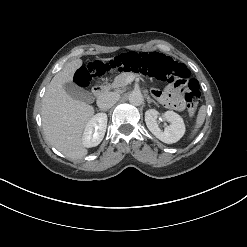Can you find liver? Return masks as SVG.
Returning a JSON list of instances; mask_svg holds the SVG:
<instances>
[{"instance_id": "1", "label": "liver", "mask_w": 247, "mask_h": 247, "mask_svg": "<svg viewBox=\"0 0 247 247\" xmlns=\"http://www.w3.org/2000/svg\"><path fill=\"white\" fill-rule=\"evenodd\" d=\"M104 61L109 60L103 59ZM82 65L75 59L58 72L48 85L42 101L43 130L49 143L71 159H81L88 153L82 133L94 115L93 106L75 100L64 89L71 83L75 71Z\"/></svg>"}]
</instances>
